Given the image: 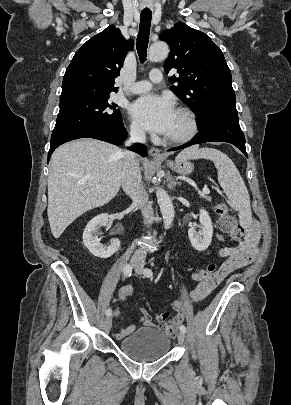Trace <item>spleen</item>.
Returning a JSON list of instances; mask_svg holds the SVG:
<instances>
[{
  "mask_svg": "<svg viewBox=\"0 0 291 405\" xmlns=\"http://www.w3.org/2000/svg\"><path fill=\"white\" fill-rule=\"evenodd\" d=\"M200 158L214 162L218 182L227 195L230 205L238 210L240 222L244 224L250 220L252 213L248 190L235 164L226 154L214 148L199 149L193 146L178 154L176 161Z\"/></svg>",
  "mask_w": 291,
  "mask_h": 405,
  "instance_id": "obj_1",
  "label": "spleen"
}]
</instances>
